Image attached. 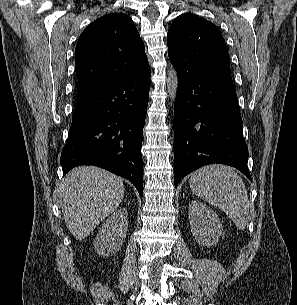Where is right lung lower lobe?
<instances>
[{"label":"right lung lower lobe","mask_w":297,"mask_h":305,"mask_svg":"<svg viewBox=\"0 0 297 305\" xmlns=\"http://www.w3.org/2000/svg\"><path fill=\"white\" fill-rule=\"evenodd\" d=\"M150 68L104 87L78 102L61 153L65 175L77 165H96L130 180L143 196L142 137Z\"/></svg>","instance_id":"obj_1"}]
</instances>
